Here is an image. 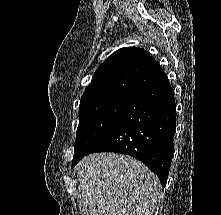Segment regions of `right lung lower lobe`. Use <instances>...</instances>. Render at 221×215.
<instances>
[{
	"label": "right lung lower lobe",
	"mask_w": 221,
	"mask_h": 215,
	"mask_svg": "<svg viewBox=\"0 0 221 215\" xmlns=\"http://www.w3.org/2000/svg\"><path fill=\"white\" fill-rule=\"evenodd\" d=\"M174 131V91L166 77L134 97L85 155L94 152L128 154L156 173L165 186L173 154ZM84 156L73 159L72 167Z\"/></svg>",
	"instance_id": "1"
}]
</instances>
